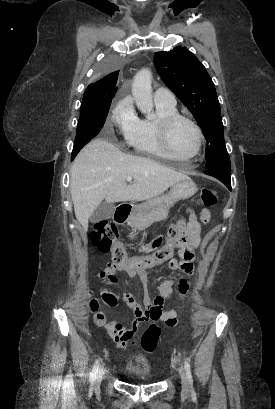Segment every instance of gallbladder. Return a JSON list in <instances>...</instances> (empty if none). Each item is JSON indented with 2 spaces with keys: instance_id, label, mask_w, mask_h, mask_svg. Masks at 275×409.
<instances>
[{
  "instance_id": "obj_1",
  "label": "gallbladder",
  "mask_w": 275,
  "mask_h": 409,
  "mask_svg": "<svg viewBox=\"0 0 275 409\" xmlns=\"http://www.w3.org/2000/svg\"><path fill=\"white\" fill-rule=\"evenodd\" d=\"M113 213H115V205H113V202H101V205H99L96 211L89 217V221L90 223L106 221V219H111Z\"/></svg>"
}]
</instances>
